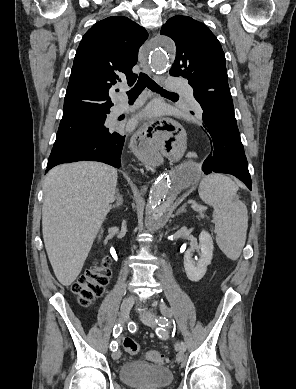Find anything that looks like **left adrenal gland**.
<instances>
[{
  "label": "left adrenal gland",
  "mask_w": 296,
  "mask_h": 389,
  "mask_svg": "<svg viewBox=\"0 0 296 389\" xmlns=\"http://www.w3.org/2000/svg\"><path fill=\"white\" fill-rule=\"evenodd\" d=\"M186 203L185 204H183L178 210H177V212H176V216L177 215H180L181 213H183V212H186V210H185V207H186Z\"/></svg>",
  "instance_id": "1"
}]
</instances>
